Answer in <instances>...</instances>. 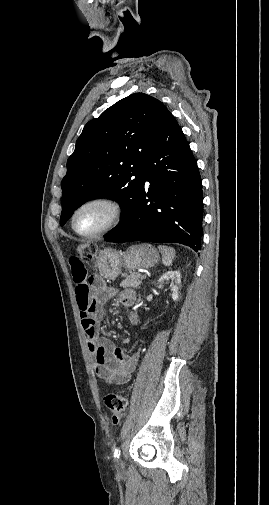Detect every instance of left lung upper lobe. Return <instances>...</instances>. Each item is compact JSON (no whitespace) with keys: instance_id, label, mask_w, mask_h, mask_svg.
<instances>
[{"instance_id":"left-lung-upper-lobe-1","label":"left lung upper lobe","mask_w":269,"mask_h":505,"mask_svg":"<svg viewBox=\"0 0 269 505\" xmlns=\"http://www.w3.org/2000/svg\"><path fill=\"white\" fill-rule=\"evenodd\" d=\"M167 112L158 99L135 93L85 125L61 183V226L96 198L119 202L122 220L115 228L130 219L150 140Z\"/></svg>"}]
</instances>
